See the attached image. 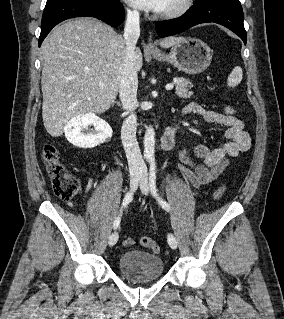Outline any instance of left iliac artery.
Listing matches in <instances>:
<instances>
[{"instance_id":"44dca946","label":"left iliac artery","mask_w":284,"mask_h":319,"mask_svg":"<svg viewBox=\"0 0 284 319\" xmlns=\"http://www.w3.org/2000/svg\"><path fill=\"white\" fill-rule=\"evenodd\" d=\"M150 168H149V186L152 195L157 199L158 203L162 206L163 209L166 211H170L169 204L164 201L158 193V190L156 188V163L154 159H150Z\"/></svg>"}]
</instances>
